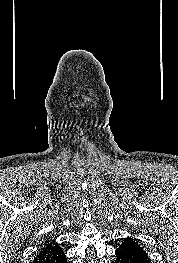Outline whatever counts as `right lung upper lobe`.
<instances>
[{"mask_svg": "<svg viewBox=\"0 0 178 263\" xmlns=\"http://www.w3.org/2000/svg\"><path fill=\"white\" fill-rule=\"evenodd\" d=\"M61 250L59 244L54 243V240L52 242H46L44 247L35 255L33 263H41V261L51 257Z\"/></svg>", "mask_w": 178, "mask_h": 263, "instance_id": "1", "label": "right lung upper lobe"}]
</instances>
